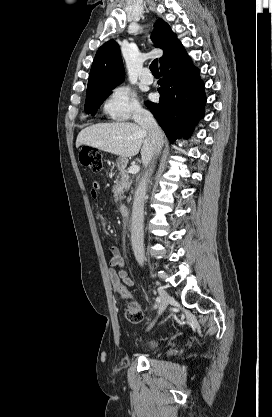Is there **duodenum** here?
<instances>
[{
    "label": "duodenum",
    "mask_w": 272,
    "mask_h": 417,
    "mask_svg": "<svg viewBox=\"0 0 272 417\" xmlns=\"http://www.w3.org/2000/svg\"><path fill=\"white\" fill-rule=\"evenodd\" d=\"M120 213L124 219L129 218V207L126 204H121L119 207Z\"/></svg>",
    "instance_id": "410a0bca"
}]
</instances>
